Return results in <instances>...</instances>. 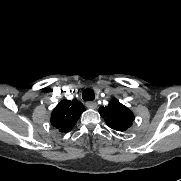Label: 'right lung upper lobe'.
Returning <instances> with one entry per match:
<instances>
[{"label": "right lung upper lobe", "instance_id": "right-lung-upper-lobe-1", "mask_svg": "<svg viewBox=\"0 0 181 181\" xmlns=\"http://www.w3.org/2000/svg\"><path fill=\"white\" fill-rule=\"evenodd\" d=\"M85 111L83 104L77 99L61 100L51 114V125L60 132H68L76 124Z\"/></svg>", "mask_w": 181, "mask_h": 181}]
</instances>
